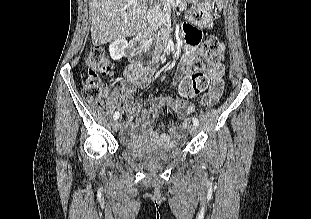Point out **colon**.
I'll list each match as a JSON object with an SVG mask.
<instances>
[{"label":"colon","mask_w":311,"mask_h":219,"mask_svg":"<svg viewBox=\"0 0 311 219\" xmlns=\"http://www.w3.org/2000/svg\"><path fill=\"white\" fill-rule=\"evenodd\" d=\"M184 28L191 41L197 43L200 39V31L189 25ZM222 51L223 45L217 37L210 36L204 41L195 62L196 73L185 79L180 87L181 94H197L207 87L208 79L203 72L206 69H215L219 72L223 70L220 63ZM84 62L86 74L83 80V96L91 103L100 104L106 99L109 91L108 85L101 77L111 75L113 65L101 47L91 48Z\"/></svg>","instance_id":"colon-1"}]
</instances>
